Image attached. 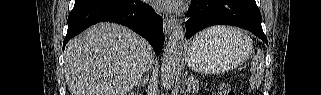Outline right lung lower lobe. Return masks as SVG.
<instances>
[{
	"label": "right lung lower lobe",
	"instance_id": "98d812e1",
	"mask_svg": "<svg viewBox=\"0 0 321 95\" xmlns=\"http://www.w3.org/2000/svg\"><path fill=\"white\" fill-rule=\"evenodd\" d=\"M109 21L132 29L146 38L159 55L164 44L163 20L147 4L139 0H109L74 6L68 16V30L63 50L68 40L89 26Z\"/></svg>",
	"mask_w": 321,
	"mask_h": 95
}]
</instances>
